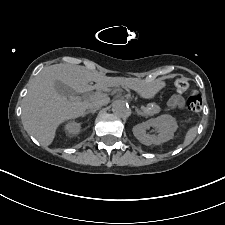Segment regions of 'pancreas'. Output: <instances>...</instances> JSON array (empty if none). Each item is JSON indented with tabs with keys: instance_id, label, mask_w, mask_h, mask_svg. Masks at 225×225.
Returning a JSON list of instances; mask_svg holds the SVG:
<instances>
[{
	"instance_id": "pancreas-1",
	"label": "pancreas",
	"mask_w": 225,
	"mask_h": 225,
	"mask_svg": "<svg viewBox=\"0 0 225 225\" xmlns=\"http://www.w3.org/2000/svg\"><path fill=\"white\" fill-rule=\"evenodd\" d=\"M142 110L145 116H152L154 114L159 113L161 108L155 103H150L146 107H143Z\"/></svg>"
}]
</instances>
